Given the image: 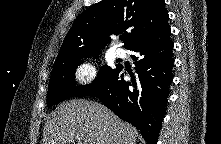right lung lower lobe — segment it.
<instances>
[{"mask_svg": "<svg viewBox=\"0 0 221 144\" xmlns=\"http://www.w3.org/2000/svg\"><path fill=\"white\" fill-rule=\"evenodd\" d=\"M128 50L135 52L131 55L135 64V73L129 72L131 80L123 79L126 72L118 66L107 81L86 95L99 97L122 120L137 127L147 144H156L173 80L169 24L134 42Z\"/></svg>", "mask_w": 221, "mask_h": 144, "instance_id": "1", "label": "right lung lower lobe"}]
</instances>
